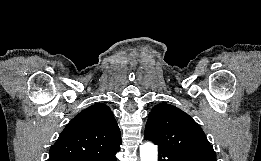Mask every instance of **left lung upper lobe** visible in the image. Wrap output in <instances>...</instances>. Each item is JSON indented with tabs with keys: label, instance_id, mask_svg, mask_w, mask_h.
Returning a JSON list of instances; mask_svg holds the SVG:
<instances>
[{
	"label": "left lung upper lobe",
	"instance_id": "obj_1",
	"mask_svg": "<svg viewBox=\"0 0 261 161\" xmlns=\"http://www.w3.org/2000/svg\"><path fill=\"white\" fill-rule=\"evenodd\" d=\"M144 138L158 145L159 149H174L216 161L213 146L200 126L188 114L167 103L152 108Z\"/></svg>",
	"mask_w": 261,
	"mask_h": 161
}]
</instances>
